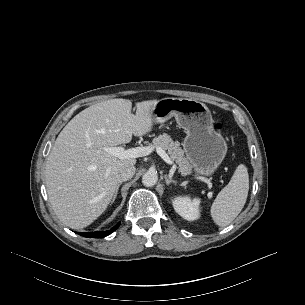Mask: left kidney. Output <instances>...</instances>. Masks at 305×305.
Listing matches in <instances>:
<instances>
[{
    "label": "left kidney",
    "mask_w": 305,
    "mask_h": 305,
    "mask_svg": "<svg viewBox=\"0 0 305 305\" xmlns=\"http://www.w3.org/2000/svg\"><path fill=\"white\" fill-rule=\"evenodd\" d=\"M172 203L175 211L184 219L193 221L200 217V199L191 200L189 197H176Z\"/></svg>",
    "instance_id": "obj_1"
}]
</instances>
